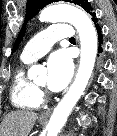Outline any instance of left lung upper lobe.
<instances>
[{
    "label": "left lung upper lobe",
    "instance_id": "obj_1",
    "mask_svg": "<svg viewBox=\"0 0 117 136\" xmlns=\"http://www.w3.org/2000/svg\"><path fill=\"white\" fill-rule=\"evenodd\" d=\"M55 1L57 0H27L25 21L14 44L13 51L17 48L25 34L26 23L28 22V20L33 18L46 5ZM65 1L79 5L90 15L94 13L93 8L91 7L90 3L87 0H65Z\"/></svg>",
    "mask_w": 117,
    "mask_h": 136
}]
</instances>
